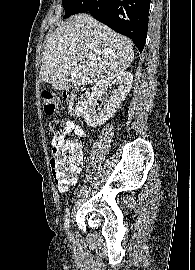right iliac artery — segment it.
I'll return each instance as SVG.
<instances>
[{
	"label": "right iliac artery",
	"mask_w": 195,
	"mask_h": 270,
	"mask_svg": "<svg viewBox=\"0 0 195 270\" xmlns=\"http://www.w3.org/2000/svg\"><path fill=\"white\" fill-rule=\"evenodd\" d=\"M69 221H70V212L68 210L67 214L65 216V221H64V226H65V230L67 231V233L69 231Z\"/></svg>",
	"instance_id": "82829eb1"
}]
</instances>
